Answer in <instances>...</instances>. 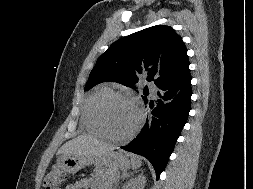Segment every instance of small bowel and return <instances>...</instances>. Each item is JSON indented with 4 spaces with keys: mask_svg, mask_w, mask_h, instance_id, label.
Here are the masks:
<instances>
[{
    "mask_svg": "<svg viewBox=\"0 0 253 189\" xmlns=\"http://www.w3.org/2000/svg\"><path fill=\"white\" fill-rule=\"evenodd\" d=\"M97 188L98 187L93 179H83L67 186L65 189H97Z\"/></svg>",
    "mask_w": 253,
    "mask_h": 189,
    "instance_id": "1",
    "label": "small bowel"
}]
</instances>
